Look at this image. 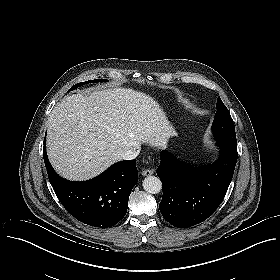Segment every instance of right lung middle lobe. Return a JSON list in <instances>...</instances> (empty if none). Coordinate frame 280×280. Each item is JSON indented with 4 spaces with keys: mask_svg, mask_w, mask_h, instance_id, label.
I'll use <instances>...</instances> for the list:
<instances>
[{
    "mask_svg": "<svg viewBox=\"0 0 280 280\" xmlns=\"http://www.w3.org/2000/svg\"><path fill=\"white\" fill-rule=\"evenodd\" d=\"M99 81H108V80H106V79H96V80H91V81H87V82H82V83L76 84L70 90L76 89L77 87H79L81 85H84L86 83L99 82Z\"/></svg>",
    "mask_w": 280,
    "mask_h": 280,
    "instance_id": "dd1d6c3e",
    "label": "right lung middle lobe"
}]
</instances>
